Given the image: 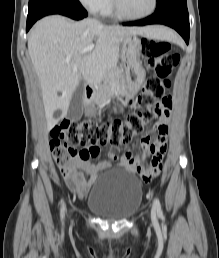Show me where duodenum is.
Listing matches in <instances>:
<instances>
[{
  "mask_svg": "<svg viewBox=\"0 0 219 258\" xmlns=\"http://www.w3.org/2000/svg\"><path fill=\"white\" fill-rule=\"evenodd\" d=\"M96 95L95 89L91 85H87L84 89L85 103H93V97Z\"/></svg>",
  "mask_w": 219,
  "mask_h": 258,
  "instance_id": "410a0bca",
  "label": "duodenum"
}]
</instances>
